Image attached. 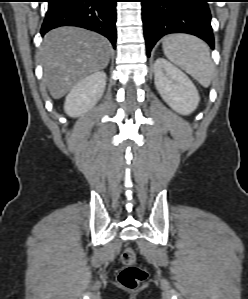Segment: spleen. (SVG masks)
Instances as JSON below:
<instances>
[{
  "instance_id": "spleen-1",
  "label": "spleen",
  "mask_w": 248,
  "mask_h": 299,
  "mask_svg": "<svg viewBox=\"0 0 248 299\" xmlns=\"http://www.w3.org/2000/svg\"><path fill=\"white\" fill-rule=\"evenodd\" d=\"M163 51L175 65L208 87L214 77V65L208 45L187 34H171L163 38Z\"/></svg>"
}]
</instances>
